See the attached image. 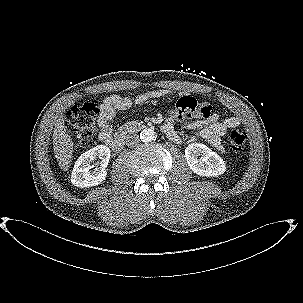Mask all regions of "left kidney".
Masks as SVG:
<instances>
[{"mask_svg": "<svg viewBox=\"0 0 303 303\" xmlns=\"http://www.w3.org/2000/svg\"><path fill=\"white\" fill-rule=\"evenodd\" d=\"M185 158L189 168L196 174L216 177L226 171L223 159L202 143H191L185 149Z\"/></svg>", "mask_w": 303, "mask_h": 303, "instance_id": "obj_1", "label": "left kidney"}]
</instances>
